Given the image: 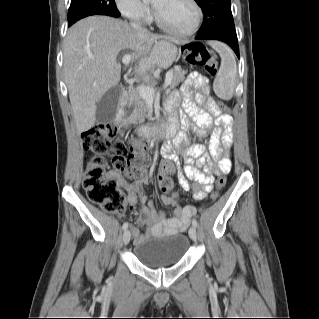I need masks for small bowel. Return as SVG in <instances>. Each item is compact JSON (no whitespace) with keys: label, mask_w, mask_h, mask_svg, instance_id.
Masks as SVG:
<instances>
[{"label":"small bowel","mask_w":319,"mask_h":319,"mask_svg":"<svg viewBox=\"0 0 319 319\" xmlns=\"http://www.w3.org/2000/svg\"><path fill=\"white\" fill-rule=\"evenodd\" d=\"M211 102L206 79L198 72H191L182 82L179 92L170 96L166 104L170 117L176 120L179 118L182 131L166 149L168 151L166 161L160 168L157 182L160 184V177L167 178L174 168L178 167L179 156L176 152L181 151L187 163L183 170H178V182L184 191H191L196 201L202 200L212 191V184L217 176L226 175L231 169L233 117L221 111L213 113L210 109ZM180 103L184 112L178 116L177 107ZM188 134H193L199 139L209 137V154L216 162L213 172L212 166L207 164L206 147L201 143L189 144ZM192 159H195V162L191 161ZM112 175L118 185L127 192L129 206L132 207L137 202L141 204V215L137 219V224L145 227L149 234H173L184 231L196 215V208L193 205L181 206L179 195L178 198H174L173 194H161V201L175 208V216L167 218L164 212L156 210L154 201L144 194L147 178L127 182L117 173ZM129 228L135 242H141L143 236L138 228L134 225H129Z\"/></svg>","instance_id":"c3829d8e"}]
</instances>
